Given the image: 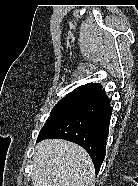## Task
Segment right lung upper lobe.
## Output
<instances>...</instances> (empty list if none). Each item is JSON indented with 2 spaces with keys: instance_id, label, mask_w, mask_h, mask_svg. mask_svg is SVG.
Segmentation results:
<instances>
[{
  "instance_id": "right-lung-upper-lobe-1",
  "label": "right lung upper lobe",
  "mask_w": 138,
  "mask_h": 186,
  "mask_svg": "<svg viewBox=\"0 0 138 186\" xmlns=\"http://www.w3.org/2000/svg\"><path fill=\"white\" fill-rule=\"evenodd\" d=\"M78 89H85V90H90V91H100L102 90V86L97 83H88L86 85H82L78 87Z\"/></svg>"
}]
</instances>
